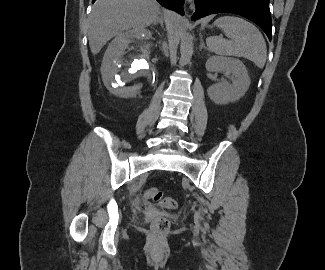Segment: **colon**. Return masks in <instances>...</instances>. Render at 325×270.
<instances>
[{"label":"colon","instance_id":"1","mask_svg":"<svg viewBox=\"0 0 325 270\" xmlns=\"http://www.w3.org/2000/svg\"><path fill=\"white\" fill-rule=\"evenodd\" d=\"M147 199L158 202L162 207L173 210L177 207V202L171 197H164L159 189L151 187L147 188L144 192ZM169 220L165 217H158L152 222V229L155 232L163 233L169 229Z\"/></svg>","mask_w":325,"mask_h":270}]
</instances>
